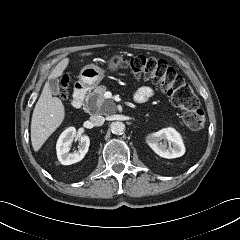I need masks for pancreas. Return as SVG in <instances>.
<instances>
[{"label": "pancreas", "mask_w": 240, "mask_h": 240, "mask_svg": "<svg viewBox=\"0 0 240 240\" xmlns=\"http://www.w3.org/2000/svg\"><path fill=\"white\" fill-rule=\"evenodd\" d=\"M107 88L104 85L94 87L92 92H89L86 96V109L93 110L94 112L105 113L106 107H114V102L108 99H105L104 93Z\"/></svg>", "instance_id": "cf45deb5"}]
</instances>
